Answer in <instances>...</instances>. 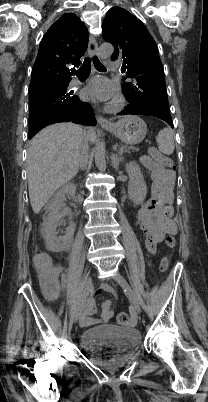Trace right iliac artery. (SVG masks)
<instances>
[{"instance_id": "obj_1", "label": "right iliac artery", "mask_w": 208, "mask_h": 402, "mask_svg": "<svg viewBox=\"0 0 208 402\" xmlns=\"http://www.w3.org/2000/svg\"><path fill=\"white\" fill-rule=\"evenodd\" d=\"M83 298H84V293H83L82 299H83ZM82 299H81V300H82Z\"/></svg>"}]
</instances>
